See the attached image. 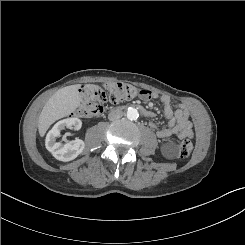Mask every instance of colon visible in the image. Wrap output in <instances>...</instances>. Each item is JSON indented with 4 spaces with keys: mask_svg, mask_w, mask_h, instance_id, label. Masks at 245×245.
Wrapping results in <instances>:
<instances>
[{
    "mask_svg": "<svg viewBox=\"0 0 245 245\" xmlns=\"http://www.w3.org/2000/svg\"><path fill=\"white\" fill-rule=\"evenodd\" d=\"M144 94H146L145 90H140L131 84L122 82L88 84L82 89V101L76 111V115L80 117H94L104 112L107 102L118 104ZM192 150V143L184 140L178 146V156L186 158L191 154Z\"/></svg>",
    "mask_w": 245,
    "mask_h": 245,
    "instance_id": "obj_1",
    "label": "colon"
}]
</instances>
